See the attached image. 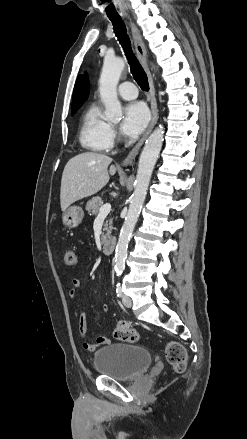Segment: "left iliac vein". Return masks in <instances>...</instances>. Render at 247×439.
<instances>
[{"instance_id": "1", "label": "left iliac vein", "mask_w": 247, "mask_h": 439, "mask_svg": "<svg viewBox=\"0 0 247 439\" xmlns=\"http://www.w3.org/2000/svg\"><path fill=\"white\" fill-rule=\"evenodd\" d=\"M122 302H123V304H124L126 307H128V308H130V307L132 306V300H131V298H130L129 296H127V295H123V296H122Z\"/></svg>"}]
</instances>
